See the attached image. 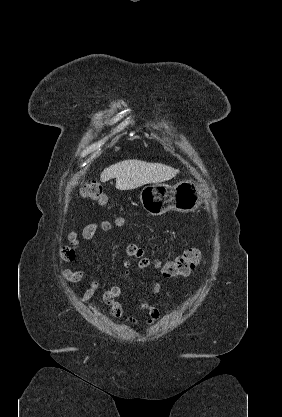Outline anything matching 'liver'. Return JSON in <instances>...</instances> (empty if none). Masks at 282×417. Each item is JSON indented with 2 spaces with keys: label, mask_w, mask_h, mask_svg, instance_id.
<instances>
[{
  "label": "liver",
  "mask_w": 282,
  "mask_h": 417,
  "mask_svg": "<svg viewBox=\"0 0 282 417\" xmlns=\"http://www.w3.org/2000/svg\"><path fill=\"white\" fill-rule=\"evenodd\" d=\"M178 168H172L162 162H145V160H121L104 168L100 174L101 182L116 178V188L129 190L150 182H164L176 176Z\"/></svg>",
  "instance_id": "1"
}]
</instances>
